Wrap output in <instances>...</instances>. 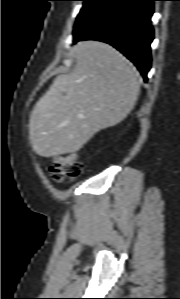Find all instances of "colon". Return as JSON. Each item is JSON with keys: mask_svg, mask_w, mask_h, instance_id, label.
Here are the masks:
<instances>
[{"mask_svg": "<svg viewBox=\"0 0 180 299\" xmlns=\"http://www.w3.org/2000/svg\"><path fill=\"white\" fill-rule=\"evenodd\" d=\"M83 166L73 154H63L54 158L50 177L55 182L74 180L82 174Z\"/></svg>", "mask_w": 180, "mask_h": 299, "instance_id": "5ec220e1", "label": "colon"}]
</instances>
